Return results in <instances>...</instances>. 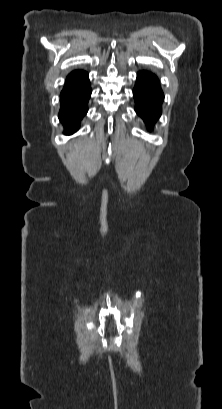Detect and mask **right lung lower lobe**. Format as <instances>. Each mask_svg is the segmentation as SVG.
<instances>
[{
	"label": "right lung lower lobe",
	"mask_w": 222,
	"mask_h": 409,
	"mask_svg": "<svg viewBox=\"0 0 222 409\" xmlns=\"http://www.w3.org/2000/svg\"><path fill=\"white\" fill-rule=\"evenodd\" d=\"M91 95L90 82L85 72L71 73L60 94L61 109L59 119L64 125V133L78 130L80 120L88 111L87 103Z\"/></svg>",
	"instance_id": "1"
}]
</instances>
